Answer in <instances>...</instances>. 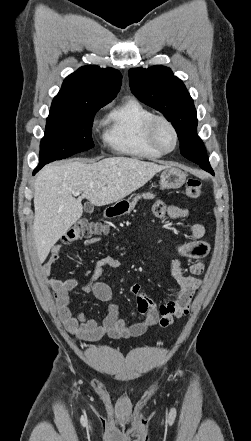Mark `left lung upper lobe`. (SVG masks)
I'll list each match as a JSON object with an SVG mask.
<instances>
[{
	"instance_id": "5c2ea615",
	"label": "left lung upper lobe",
	"mask_w": 251,
	"mask_h": 441,
	"mask_svg": "<svg viewBox=\"0 0 251 441\" xmlns=\"http://www.w3.org/2000/svg\"><path fill=\"white\" fill-rule=\"evenodd\" d=\"M132 93L143 103L160 111L174 126L181 154L207 170V153L196 134L197 114L193 99L183 82L163 66L129 70Z\"/></svg>"
}]
</instances>
